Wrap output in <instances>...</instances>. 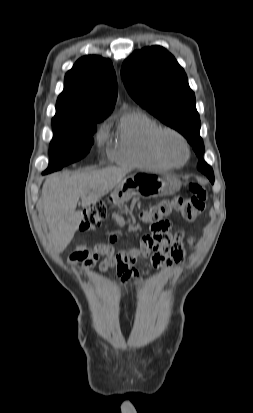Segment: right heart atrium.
Returning <instances> with one entry per match:
<instances>
[{
	"label": "right heart atrium",
	"mask_w": 253,
	"mask_h": 413,
	"mask_svg": "<svg viewBox=\"0 0 253 413\" xmlns=\"http://www.w3.org/2000/svg\"><path fill=\"white\" fill-rule=\"evenodd\" d=\"M103 139H104V136H103V135H99L98 140H99V141H102Z\"/></svg>",
	"instance_id": "obj_1"
}]
</instances>
